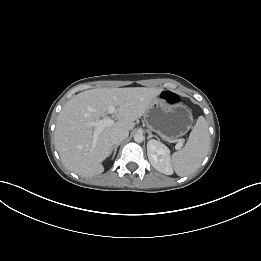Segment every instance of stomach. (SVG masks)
<instances>
[{
    "mask_svg": "<svg viewBox=\"0 0 261 261\" xmlns=\"http://www.w3.org/2000/svg\"><path fill=\"white\" fill-rule=\"evenodd\" d=\"M144 119L149 129L166 140H174L189 131L193 114L186 105H173L155 98L145 112Z\"/></svg>",
    "mask_w": 261,
    "mask_h": 261,
    "instance_id": "1",
    "label": "stomach"
}]
</instances>
